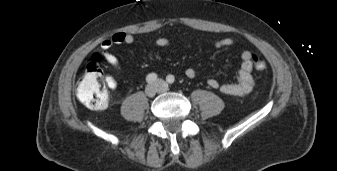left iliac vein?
<instances>
[{"label": "left iliac vein", "mask_w": 337, "mask_h": 171, "mask_svg": "<svg viewBox=\"0 0 337 171\" xmlns=\"http://www.w3.org/2000/svg\"><path fill=\"white\" fill-rule=\"evenodd\" d=\"M155 85L158 87L159 92H164V91L167 90V84L163 80H161V79H158L155 82Z\"/></svg>", "instance_id": "4c4485c4"}]
</instances>
